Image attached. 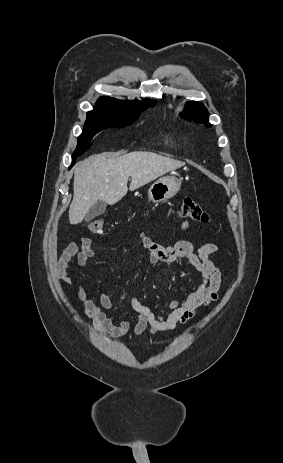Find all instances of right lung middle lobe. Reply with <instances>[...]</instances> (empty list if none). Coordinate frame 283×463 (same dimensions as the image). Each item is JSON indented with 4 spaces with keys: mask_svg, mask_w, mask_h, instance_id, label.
<instances>
[{
    "mask_svg": "<svg viewBox=\"0 0 283 463\" xmlns=\"http://www.w3.org/2000/svg\"><path fill=\"white\" fill-rule=\"evenodd\" d=\"M154 105L155 103L147 106L104 105L97 103L94 110L87 113L83 132L78 137L77 147L72 157H78L89 149L92 145L91 140L93 136L99 131L110 127L121 128L130 125L139 118L142 111Z\"/></svg>",
    "mask_w": 283,
    "mask_h": 463,
    "instance_id": "obj_1",
    "label": "right lung middle lobe"
}]
</instances>
